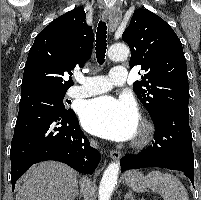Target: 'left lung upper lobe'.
Wrapping results in <instances>:
<instances>
[{
	"instance_id": "5c2ea615",
	"label": "left lung upper lobe",
	"mask_w": 201,
	"mask_h": 200,
	"mask_svg": "<svg viewBox=\"0 0 201 200\" xmlns=\"http://www.w3.org/2000/svg\"><path fill=\"white\" fill-rule=\"evenodd\" d=\"M131 50L130 68L146 71L133 89L152 117L167 105L189 103V84L183 48L162 18L146 9L133 13L122 35Z\"/></svg>"
}]
</instances>
